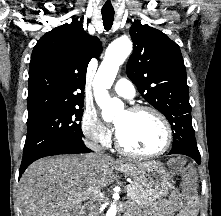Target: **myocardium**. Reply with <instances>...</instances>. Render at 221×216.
Masks as SVG:
<instances>
[{
    "label": "myocardium",
    "mask_w": 221,
    "mask_h": 216,
    "mask_svg": "<svg viewBox=\"0 0 221 216\" xmlns=\"http://www.w3.org/2000/svg\"><path fill=\"white\" fill-rule=\"evenodd\" d=\"M131 114H140V113H150L154 115L159 121L162 123L164 130H165V142L164 145L157 151L142 153L135 150H132L126 147L120 140L118 132L116 130V138L115 143L118 150L123 152L126 155L133 156V157H141V158H154L164 154L171 146L173 140V132L171 125L167 118L156 108L147 106V105H137L128 110Z\"/></svg>",
    "instance_id": "f54148a6"
}]
</instances>
